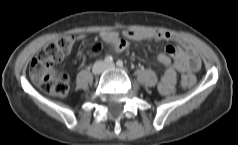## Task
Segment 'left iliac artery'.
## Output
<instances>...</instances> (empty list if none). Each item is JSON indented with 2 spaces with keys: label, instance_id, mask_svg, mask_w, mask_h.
I'll use <instances>...</instances> for the list:
<instances>
[{
  "label": "left iliac artery",
  "instance_id": "1",
  "mask_svg": "<svg viewBox=\"0 0 238 145\" xmlns=\"http://www.w3.org/2000/svg\"><path fill=\"white\" fill-rule=\"evenodd\" d=\"M116 65H117L118 67H123V61H122V60H118V61L116 62Z\"/></svg>",
  "mask_w": 238,
  "mask_h": 145
}]
</instances>
